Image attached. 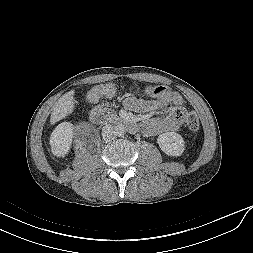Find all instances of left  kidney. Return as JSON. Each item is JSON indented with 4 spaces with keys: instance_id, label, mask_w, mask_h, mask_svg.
<instances>
[{
    "instance_id": "obj_1",
    "label": "left kidney",
    "mask_w": 253,
    "mask_h": 253,
    "mask_svg": "<svg viewBox=\"0 0 253 253\" xmlns=\"http://www.w3.org/2000/svg\"><path fill=\"white\" fill-rule=\"evenodd\" d=\"M157 143L167 155L180 156L185 150L183 137L175 132H166L158 136Z\"/></svg>"
}]
</instances>
